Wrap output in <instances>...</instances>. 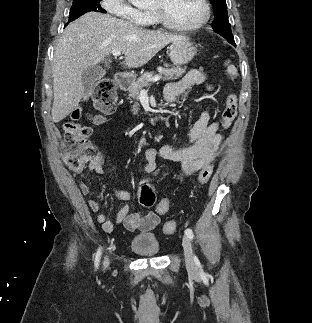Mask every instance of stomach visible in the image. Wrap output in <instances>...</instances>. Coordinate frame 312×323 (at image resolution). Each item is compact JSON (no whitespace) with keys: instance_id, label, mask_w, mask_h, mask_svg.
Segmentation results:
<instances>
[{"instance_id":"1","label":"stomach","mask_w":312,"mask_h":323,"mask_svg":"<svg viewBox=\"0 0 312 323\" xmlns=\"http://www.w3.org/2000/svg\"><path fill=\"white\" fill-rule=\"evenodd\" d=\"M168 50L172 64H174V66H178V68H180V66H184V64H189L197 54L195 46H193L189 38H185V36L180 38V40L172 42Z\"/></svg>"}]
</instances>
